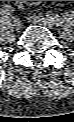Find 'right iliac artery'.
I'll use <instances>...</instances> for the list:
<instances>
[{
	"instance_id": "1",
	"label": "right iliac artery",
	"mask_w": 74,
	"mask_h": 122,
	"mask_svg": "<svg viewBox=\"0 0 74 122\" xmlns=\"http://www.w3.org/2000/svg\"><path fill=\"white\" fill-rule=\"evenodd\" d=\"M2 12L5 14H11L13 12V8L9 5H3Z\"/></svg>"
}]
</instances>
